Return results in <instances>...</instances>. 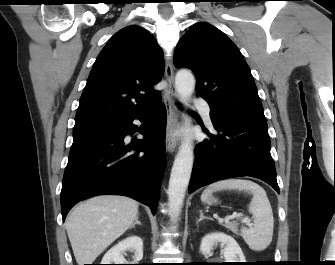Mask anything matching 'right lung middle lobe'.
<instances>
[{"label":"right lung middle lobe","instance_id":"right-lung-middle-lobe-1","mask_svg":"<svg viewBox=\"0 0 335 265\" xmlns=\"http://www.w3.org/2000/svg\"><path fill=\"white\" fill-rule=\"evenodd\" d=\"M105 125H82V126H74L73 135L85 133L89 131H93L99 128L104 127Z\"/></svg>","mask_w":335,"mask_h":265}]
</instances>
